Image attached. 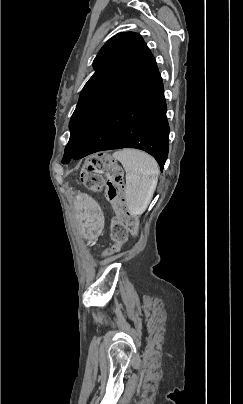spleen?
Segmentation results:
<instances>
[{"mask_svg":"<svg viewBox=\"0 0 243 404\" xmlns=\"http://www.w3.org/2000/svg\"><path fill=\"white\" fill-rule=\"evenodd\" d=\"M113 158L121 162L126 172L125 198L132 216L145 212L157 186L159 168L156 160L142 152L125 148L114 152Z\"/></svg>","mask_w":243,"mask_h":404,"instance_id":"spleen-1","label":"spleen"}]
</instances>
